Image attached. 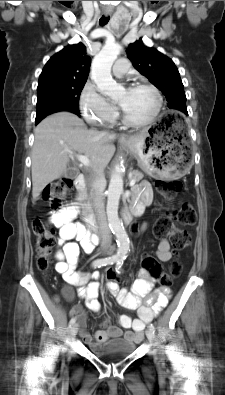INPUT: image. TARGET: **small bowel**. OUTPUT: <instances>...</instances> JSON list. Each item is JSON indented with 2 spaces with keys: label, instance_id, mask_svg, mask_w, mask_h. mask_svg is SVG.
Returning a JSON list of instances; mask_svg holds the SVG:
<instances>
[{
  "label": "small bowel",
  "instance_id": "obj_1",
  "mask_svg": "<svg viewBox=\"0 0 225 395\" xmlns=\"http://www.w3.org/2000/svg\"><path fill=\"white\" fill-rule=\"evenodd\" d=\"M152 199L153 193L150 184L148 182L140 183L135 189L133 209L142 212L145 206L151 204ZM76 214V206H71L50 216V222L59 228L57 244L60 250L56 255L55 270L62 275L67 283L79 287V295L85 299L89 310L99 312L100 303L97 297L100 285L96 281L99 277L98 273L92 275L94 281L87 283V276L76 272L80 247L84 252L91 253L98 243V239L81 223L74 221ZM156 256L160 262H168L171 259L172 253L167 239L163 238L159 242ZM154 284L152 275H148V272H141V269L138 278L132 284L131 291L120 289L117 283H107V290L116 297L117 302L126 309L137 310L138 318L132 319L127 314L120 315L118 320L121 327L127 329L125 331L116 326H109L108 321H104V328L97 331L94 337L95 341L105 343L111 338H125L135 343L142 341L145 325L167 305L170 295L168 288H154ZM66 295L70 298L71 292L67 290ZM71 313L77 316L82 340L87 344H92L93 338L84 328L87 315L82 307L75 306Z\"/></svg>",
  "mask_w": 225,
  "mask_h": 395
}]
</instances>
